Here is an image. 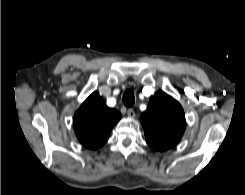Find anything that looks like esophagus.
Segmentation results:
<instances>
[{
  "label": "esophagus",
  "instance_id": "esophagus-1",
  "mask_svg": "<svg viewBox=\"0 0 245 195\" xmlns=\"http://www.w3.org/2000/svg\"><path fill=\"white\" fill-rule=\"evenodd\" d=\"M127 115H128V117H130V118H134V117H135V111H134L132 108H130V109H128V111H127Z\"/></svg>",
  "mask_w": 245,
  "mask_h": 195
}]
</instances>
